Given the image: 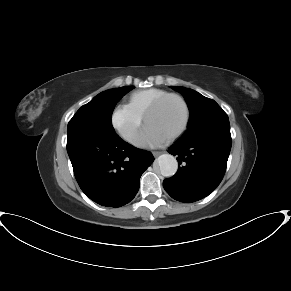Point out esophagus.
Here are the masks:
<instances>
[{
  "label": "esophagus",
  "mask_w": 291,
  "mask_h": 291,
  "mask_svg": "<svg viewBox=\"0 0 291 291\" xmlns=\"http://www.w3.org/2000/svg\"><path fill=\"white\" fill-rule=\"evenodd\" d=\"M163 153V151H154L153 152V155L155 156V157H157V156H159L160 154H162Z\"/></svg>",
  "instance_id": "obj_1"
}]
</instances>
